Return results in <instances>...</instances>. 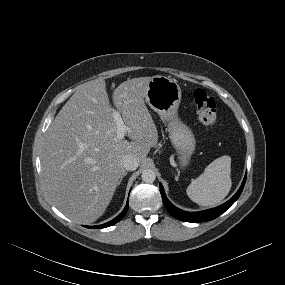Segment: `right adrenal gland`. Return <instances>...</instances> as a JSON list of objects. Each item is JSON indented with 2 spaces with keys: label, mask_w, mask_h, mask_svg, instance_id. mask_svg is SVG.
I'll return each instance as SVG.
<instances>
[{
  "label": "right adrenal gland",
  "mask_w": 285,
  "mask_h": 285,
  "mask_svg": "<svg viewBox=\"0 0 285 285\" xmlns=\"http://www.w3.org/2000/svg\"><path fill=\"white\" fill-rule=\"evenodd\" d=\"M126 175H127V172L124 173V176H126ZM121 181H122V179L120 180V182H121Z\"/></svg>",
  "instance_id": "obj_1"
}]
</instances>
